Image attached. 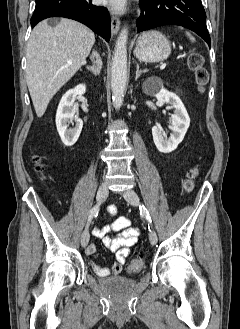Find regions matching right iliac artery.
Segmentation results:
<instances>
[{
	"instance_id": "obj_1",
	"label": "right iliac artery",
	"mask_w": 240,
	"mask_h": 329,
	"mask_svg": "<svg viewBox=\"0 0 240 329\" xmlns=\"http://www.w3.org/2000/svg\"><path fill=\"white\" fill-rule=\"evenodd\" d=\"M98 206H99V205H96V206H94V207L91 209V211H90V213H89L88 224H87V225H89L90 222H91V220H92V218L98 214Z\"/></svg>"
}]
</instances>
